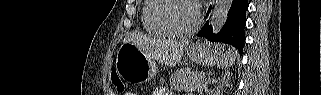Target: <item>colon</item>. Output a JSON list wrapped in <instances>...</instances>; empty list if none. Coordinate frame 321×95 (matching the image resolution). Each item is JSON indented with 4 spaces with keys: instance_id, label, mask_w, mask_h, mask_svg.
Listing matches in <instances>:
<instances>
[{
    "instance_id": "5ec220e1",
    "label": "colon",
    "mask_w": 321,
    "mask_h": 95,
    "mask_svg": "<svg viewBox=\"0 0 321 95\" xmlns=\"http://www.w3.org/2000/svg\"><path fill=\"white\" fill-rule=\"evenodd\" d=\"M111 83L115 91L119 94L124 93L125 91V84L119 77V75L116 72L111 73Z\"/></svg>"
}]
</instances>
